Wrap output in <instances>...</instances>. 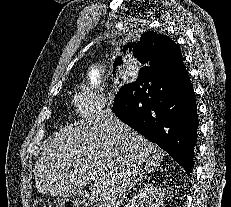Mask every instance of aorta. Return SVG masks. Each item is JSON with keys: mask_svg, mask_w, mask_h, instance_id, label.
Segmentation results:
<instances>
[{"mask_svg": "<svg viewBox=\"0 0 231 207\" xmlns=\"http://www.w3.org/2000/svg\"><path fill=\"white\" fill-rule=\"evenodd\" d=\"M100 74V70L97 67H93L90 71V79L92 84H97L98 83V77Z\"/></svg>", "mask_w": 231, "mask_h": 207, "instance_id": "762f6f07", "label": "aorta"}]
</instances>
